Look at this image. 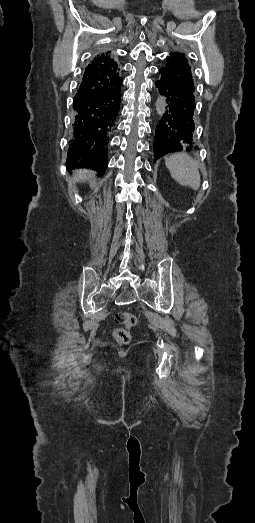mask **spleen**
I'll return each mask as SVG.
<instances>
[{
  "mask_svg": "<svg viewBox=\"0 0 255 523\" xmlns=\"http://www.w3.org/2000/svg\"><path fill=\"white\" fill-rule=\"evenodd\" d=\"M165 166L180 186H189L193 190L200 188L198 166L187 154H173L165 158Z\"/></svg>",
  "mask_w": 255,
  "mask_h": 523,
  "instance_id": "1",
  "label": "spleen"
}]
</instances>
